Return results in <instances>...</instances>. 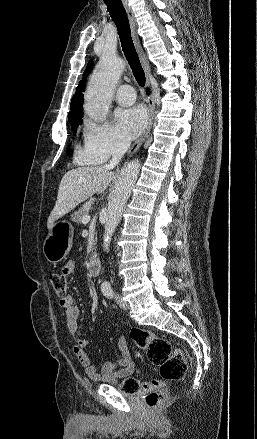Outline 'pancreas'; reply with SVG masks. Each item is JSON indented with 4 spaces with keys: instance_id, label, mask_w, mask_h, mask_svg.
Wrapping results in <instances>:
<instances>
[{
    "instance_id": "cf45deb5",
    "label": "pancreas",
    "mask_w": 257,
    "mask_h": 439,
    "mask_svg": "<svg viewBox=\"0 0 257 439\" xmlns=\"http://www.w3.org/2000/svg\"><path fill=\"white\" fill-rule=\"evenodd\" d=\"M90 210V206L88 204H84L81 208L78 209V211L74 212L71 216V220L76 223H81L82 218L84 216H88Z\"/></svg>"
}]
</instances>
